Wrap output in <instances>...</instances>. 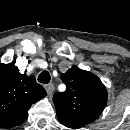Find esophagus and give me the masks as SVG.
<instances>
[{
    "mask_svg": "<svg viewBox=\"0 0 130 130\" xmlns=\"http://www.w3.org/2000/svg\"><path fill=\"white\" fill-rule=\"evenodd\" d=\"M45 90L46 92L50 95L53 93L54 91V85L53 84H47L45 85Z\"/></svg>",
    "mask_w": 130,
    "mask_h": 130,
    "instance_id": "34e87169",
    "label": "esophagus"
}]
</instances>
